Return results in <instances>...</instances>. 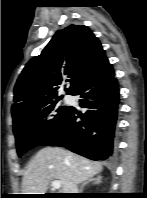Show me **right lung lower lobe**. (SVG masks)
Segmentation results:
<instances>
[{"mask_svg": "<svg viewBox=\"0 0 147 198\" xmlns=\"http://www.w3.org/2000/svg\"><path fill=\"white\" fill-rule=\"evenodd\" d=\"M107 61L84 82L74 95H80V106L87 112L79 116L71 109L60 129L41 146H63L92 160H105L113 152V138L119 104L118 82Z\"/></svg>", "mask_w": 147, "mask_h": 198, "instance_id": "98d812e1", "label": "right lung lower lobe"}]
</instances>
